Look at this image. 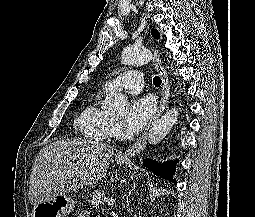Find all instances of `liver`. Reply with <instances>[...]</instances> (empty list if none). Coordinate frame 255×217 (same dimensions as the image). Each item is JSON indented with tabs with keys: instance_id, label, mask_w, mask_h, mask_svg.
<instances>
[{
	"instance_id": "liver-1",
	"label": "liver",
	"mask_w": 255,
	"mask_h": 217,
	"mask_svg": "<svg viewBox=\"0 0 255 217\" xmlns=\"http://www.w3.org/2000/svg\"><path fill=\"white\" fill-rule=\"evenodd\" d=\"M114 148L87 139H68L43 147L35 158L29 183L32 205L91 186L105 177Z\"/></svg>"
}]
</instances>
